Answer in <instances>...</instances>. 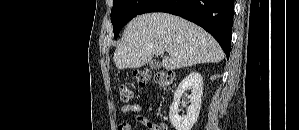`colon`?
<instances>
[{
  "mask_svg": "<svg viewBox=\"0 0 299 130\" xmlns=\"http://www.w3.org/2000/svg\"><path fill=\"white\" fill-rule=\"evenodd\" d=\"M134 77L140 86H147L154 81L158 87L169 90L173 87L175 75L171 71H159L152 73L150 70L142 69L137 70L134 73ZM120 99L123 102H128L133 97V92L128 85H121L119 88ZM156 130H164L162 128H156Z\"/></svg>",
  "mask_w": 299,
  "mask_h": 130,
  "instance_id": "5ec220e1",
  "label": "colon"
}]
</instances>
